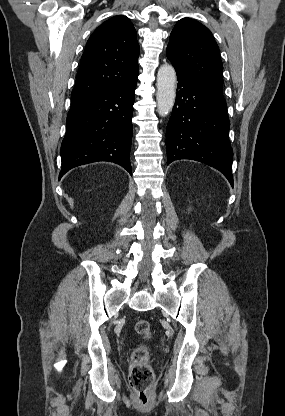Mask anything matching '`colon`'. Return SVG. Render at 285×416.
I'll list each match as a JSON object with an SVG mask.
<instances>
[{"mask_svg": "<svg viewBox=\"0 0 285 416\" xmlns=\"http://www.w3.org/2000/svg\"><path fill=\"white\" fill-rule=\"evenodd\" d=\"M136 333L147 340L152 335V327L149 321L139 320L135 324ZM149 353L145 345H140L132 355V368L129 382L136 394V402L139 407H147L154 398V373L148 364Z\"/></svg>", "mask_w": 285, "mask_h": 416, "instance_id": "5ec220e1", "label": "colon"}]
</instances>
